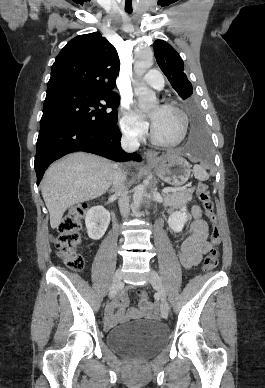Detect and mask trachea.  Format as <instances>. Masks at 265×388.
<instances>
[{
  "label": "trachea",
  "mask_w": 265,
  "mask_h": 388,
  "mask_svg": "<svg viewBox=\"0 0 265 388\" xmlns=\"http://www.w3.org/2000/svg\"><path fill=\"white\" fill-rule=\"evenodd\" d=\"M127 13H132V10H126Z\"/></svg>",
  "instance_id": "obj_1"
}]
</instances>
